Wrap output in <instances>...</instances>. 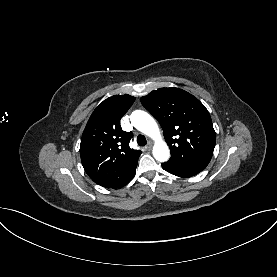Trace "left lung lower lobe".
<instances>
[{
  "label": "left lung lower lobe",
  "mask_w": 277,
  "mask_h": 277,
  "mask_svg": "<svg viewBox=\"0 0 277 277\" xmlns=\"http://www.w3.org/2000/svg\"><path fill=\"white\" fill-rule=\"evenodd\" d=\"M208 164L196 161H168L162 164V168L179 177H192L206 168Z\"/></svg>",
  "instance_id": "0a47b994"
}]
</instances>
